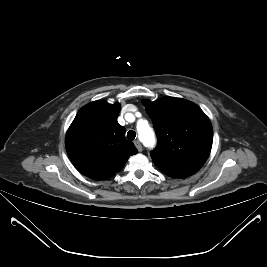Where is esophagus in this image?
Masks as SVG:
<instances>
[{"instance_id":"obj_1","label":"esophagus","mask_w":267,"mask_h":267,"mask_svg":"<svg viewBox=\"0 0 267 267\" xmlns=\"http://www.w3.org/2000/svg\"><path fill=\"white\" fill-rule=\"evenodd\" d=\"M134 144H135L137 150H138L139 152H141L142 149H143L141 143H140L138 140H136V141L134 142Z\"/></svg>"}]
</instances>
